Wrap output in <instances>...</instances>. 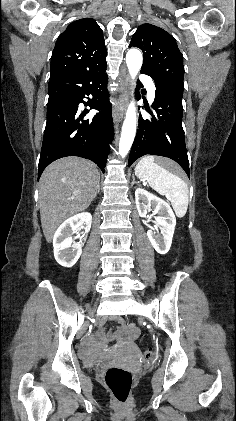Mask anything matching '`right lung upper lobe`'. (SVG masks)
<instances>
[{
    "label": "right lung upper lobe",
    "instance_id": "right-lung-upper-lobe-1",
    "mask_svg": "<svg viewBox=\"0 0 236 421\" xmlns=\"http://www.w3.org/2000/svg\"><path fill=\"white\" fill-rule=\"evenodd\" d=\"M103 32L94 19L72 22L56 41L50 82L106 65Z\"/></svg>",
    "mask_w": 236,
    "mask_h": 421
}]
</instances>
